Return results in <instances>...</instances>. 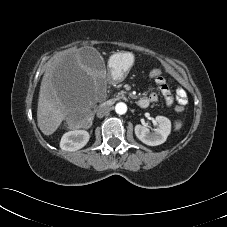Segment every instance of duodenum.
I'll return each mask as SVG.
<instances>
[{
	"label": "duodenum",
	"mask_w": 227,
	"mask_h": 227,
	"mask_svg": "<svg viewBox=\"0 0 227 227\" xmlns=\"http://www.w3.org/2000/svg\"><path fill=\"white\" fill-rule=\"evenodd\" d=\"M137 104L141 108H146L149 105L148 101L144 98L139 99Z\"/></svg>",
	"instance_id": "1"
}]
</instances>
